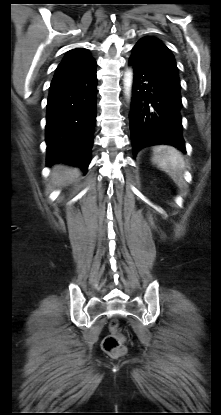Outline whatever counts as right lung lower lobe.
Masks as SVG:
<instances>
[{
	"mask_svg": "<svg viewBox=\"0 0 221 415\" xmlns=\"http://www.w3.org/2000/svg\"><path fill=\"white\" fill-rule=\"evenodd\" d=\"M96 65L55 73L47 101V165L67 163L86 171L97 113Z\"/></svg>",
	"mask_w": 221,
	"mask_h": 415,
	"instance_id": "1",
	"label": "right lung lower lobe"
}]
</instances>
